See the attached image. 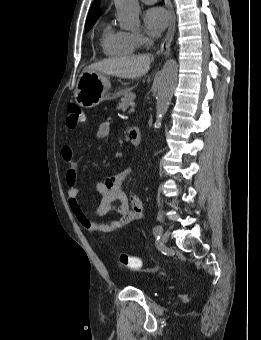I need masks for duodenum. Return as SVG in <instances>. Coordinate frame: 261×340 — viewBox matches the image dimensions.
I'll return each instance as SVG.
<instances>
[{
	"instance_id": "410a0bca",
	"label": "duodenum",
	"mask_w": 261,
	"mask_h": 340,
	"mask_svg": "<svg viewBox=\"0 0 261 340\" xmlns=\"http://www.w3.org/2000/svg\"><path fill=\"white\" fill-rule=\"evenodd\" d=\"M128 135H129V141L133 145H139L140 139H141L139 128H136V127L130 128Z\"/></svg>"
}]
</instances>
